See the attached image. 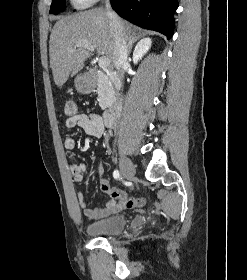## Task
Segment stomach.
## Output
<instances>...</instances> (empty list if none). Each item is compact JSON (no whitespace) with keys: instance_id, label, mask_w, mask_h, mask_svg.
Here are the masks:
<instances>
[{"instance_id":"1","label":"stomach","mask_w":247,"mask_h":280,"mask_svg":"<svg viewBox=\"0 0 247 280\" xmlns=\"http://www.w3.org/2000/svg\"><path fill=\"white\" fill-rule=\"evenodd\" d=\"M75 87L81 93H88L91 91V83L83 76H78L75 80Z\"/></svg>"}]
</instances>
